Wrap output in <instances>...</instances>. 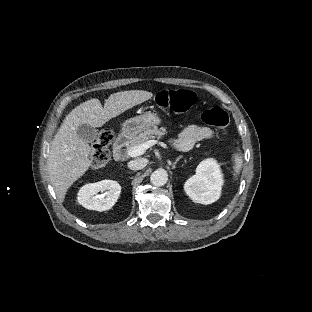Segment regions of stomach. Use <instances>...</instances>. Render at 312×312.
Wrapping results in <instances>:
<instances>
[{"mask_svg": "<svg viewBox=\"0 0 312 312\" xmlns=\"http://www.w3.org/2000/svg\"><path fill=\"white\" fill-rule=\"evenodd\" d=\"M160 123V118L155 113H144L126 120L122 126V134L134 138L138 133Z\"/></svg>", "mask_w": 312, "mask_h": 312, "instance_id": "1", "label": "stomach"}]
</instances>
